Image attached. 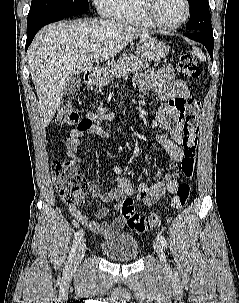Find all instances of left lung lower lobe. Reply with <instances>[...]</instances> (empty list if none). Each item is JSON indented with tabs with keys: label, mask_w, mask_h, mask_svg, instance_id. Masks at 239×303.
Wrapping results in <instances>:
<instances>
[{
	"label": "left lung lower lobe",
	"mask_w": 239,
	"mask_h": 303,
	"mask_svg": "<svg viewBox=\"0 0 239 303\" xmlns=\"http://www.w3.org/2000/svg\"><path fill=\"white\" fill-rule=\"evenodd\" d=\"M184 35L194 41L202 43L208 50L211 59L213 58V47H214L213 32L196 31Z\"/></svg>",
	"instance_id": "0a47b994"
}]
</instances>
